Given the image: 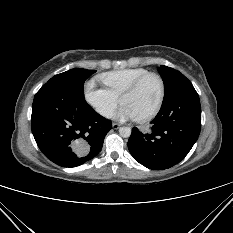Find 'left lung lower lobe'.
<instances>
[{"label":"left lung lower lobe","instance_id":"left-lung-lower-lobe-1","mask_svg":"<svg viewBox=\"0 0 233 233\" xmlns=\"http://www.w3.org/2000/svg\"><path fill=\"white\" fill-rule=\"evenodd\" d=\"M151 124L147 133L132 129L128 140L131 155L153 170L167 169L182 161L201 129L199 96L185 76L177 81Z\"/></svg>","mask_w":233,"mask_h":233}]
</instances>
